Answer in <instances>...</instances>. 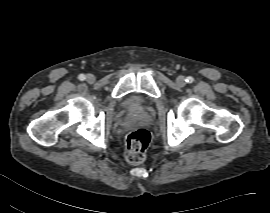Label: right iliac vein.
I'll list each match as a JSON object with an SVG mask.
<instances>
[{
  "label": "right iliac vein",
  "mask_w": 270,
  "mask_h": 213,
  "mask_svg": "<svg viewBox=\"0 0 270 213\" xmlns=\"http://www.w3.org/2000/svg\"><path fill=\"white\" fill-rule=\"evenodd\" d=\"M88 83H94L95 82V76L93 74H88L86 78Z\"/></svg>",
  "instance_id": "obj_1"
}]
</instances>
